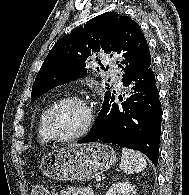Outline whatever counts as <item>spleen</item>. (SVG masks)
Listing matches in <instances>:
<instances>
[{
  "label": "spleen",
  "instance_id": "spleen-1",
  "mask_svg": "<svg viewBox=\"0 0 189 195\" xmlns=\"http://www.w3.org/2000/svg\"><path fill=\"white\" fill-rule=\"evenodd\" d=\"M147 166L146 159L139 152L123 148L120 168L125 173H137Z\"/></svg>",
  "mask_w": 189,
  "mask_h": 195
}]
</instances>
